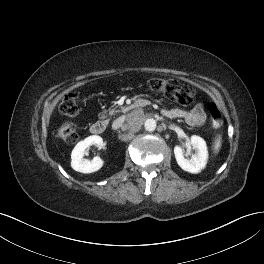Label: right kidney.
Segmentation results:
<instances>
[{
  "label": "right kidney",
  "instance_id": "ca27d5eb",
  "mask_svg": "<svg viewBox=\"0 0 264 264\" xmlns=\"http://www.w3.org/2000/svg\"><path fill=\"white\" fill-rule=\"evenodd\" d=\"M92 145L101 147L103 145L102 138L98 135L89 136L77 143V145L72 150L71 167L75 171L82 173H93L102 168L104 162L99 156L94 157L91 161L84 159L86 149Z\"/></svg>",
  "mask_w": 264,
  "mask_h": 264
}]
</instances>
